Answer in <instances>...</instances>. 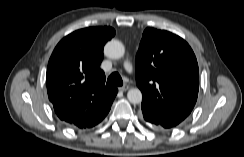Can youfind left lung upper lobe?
I'll list each match as a JSON object with an SVG mask.
<instances>
[{
  "label": "left lung upper lobe",
  "instance_id": "obj_1",
  "mask_svg": "<svg viewBox=\"0 0 244 157\" xmlns=\"http://www.w3.org/2000/svg\"><path fill=\"white\" fill-rule=\"evenodd\" d=\"M135 71L143 94L141 108L163 127H175L191 113L198 96L199 69L185 40L164 30L146 28Z\"/></svg>",
  "mask_w": 244,
  "mask_h": 157
}]
</instances>
